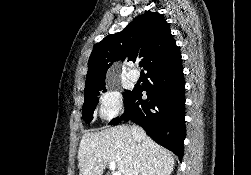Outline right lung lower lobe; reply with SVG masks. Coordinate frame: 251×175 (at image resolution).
<instances>
[{
  "mask_svg": "<svg viewBox=\"0 0 251 175\" xmlns=\"http://www.w3.org/2000/svg\"><path fill=\"white\" fill-rule=\"evenodd\" d=\"M146 81L136 86L124 98L125 112L109 124L115 125L129 118L140 125L158 144L175 153L182 160L186 137L184 112V74L181 57L166 65L147 70ZM142 91L148 98L142 100Z\"/></svg>",
  "mask_w": 251,
  "mask_h": 175,
  "instance_id": "obj_1",
  "label": "right lung lower lobe"
}]
</instances>
